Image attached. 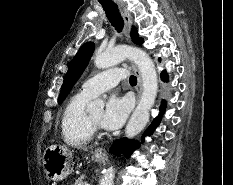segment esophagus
Masks as SVG:
<instances>
[{"label": "esophagus", "mask_w": 233, "mask_h": 185, "mask_svg": "<svg viewBox=\"0 0 233 185\" xmlns=\"http://www.w3.org/2000/svg\"><path fill=\"white\" fill-rule=\"evenodd\" d=\"M119 9L122 15V18L124 20L125 26H126V36L129 37V32L131 30L133 21H132V17L131 14L129 13V11L127 10L126 6L123 3H119ZM132 68L137 76V87H136V91H137V102L140 99L141 93H142V76L141 73L139 71V69L137 68V66L135 64H132ZM95 153L97 155H106V151L105 149L99 148L96 149Z\"/></svg>", "instance_id": "obj_1"}]
</instances>
